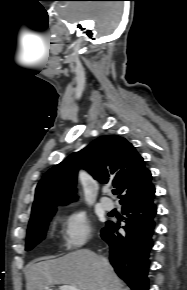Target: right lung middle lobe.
<instances>
[{
  "instance_id": "1",
  "label": "right lung middle lobe",
  "mask_w": 187,
  "mask_h": 290,
  "mask_svg": "<svg viewBox=\"0 0 187 290\" xmlns=\"http://www.w3.org/2000/svg\"><path fill=\"white\" fill-rule=\"evenodd\" d=\"M56 211L49 212L29 223L26 240V251L31 250L44 239L45 233L52 216Z\"/></svg>"
}]
</instances>
